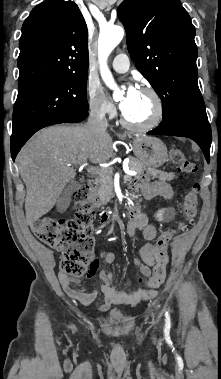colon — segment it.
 <instances>
[{"label":"colon","instance_id":"colon-1","mask_svg":"<svg viewBox=\"0 0 221 379\" xmlns=\"http://www.w3.org/2000/svg\"><path fill=\"white\" fill-rule=\"evenodd\" d=\"M170 159L180 171L193 174L196 165L187 160L184 153L178 149L170 152ZM200 185L194 184L183 203V221L175 229H168L160 233L156 241V264L147 284L151 289L160 287L166 279L168 253L167 248L177 232L187 229L197 214L198 193ZM74 198L77 214L74 219L40 218L36 220L31 229L35 236L47 246L62 252L60 269L71 276H82L92 262L94 242L92 239L95 221V202L90 191L79 188Z\"/></svg>","mask_w":221,"mask_h":379}]
</instances>
